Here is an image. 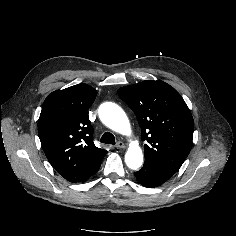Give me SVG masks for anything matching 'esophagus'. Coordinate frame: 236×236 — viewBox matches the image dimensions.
I'll use <instances>...</instances> for the list:
<instances>
[{
    "instance_id": "esophagus-1",
    "label": "esophagus",
    "mask_w": 236,
    "mask_h": 236,
    "mask_svg": "<svg viewBox=\"0 0 236 236\" xmlns=\"http://www.w3.org/2000/svg\"><path fill=\"white\" fill-rule=\"evenodd\" d=\"M115 147L118 148V149H122V148H125V144H124V142L119 141V142L116 144Z\"/></svg>"
}]
</instances>
